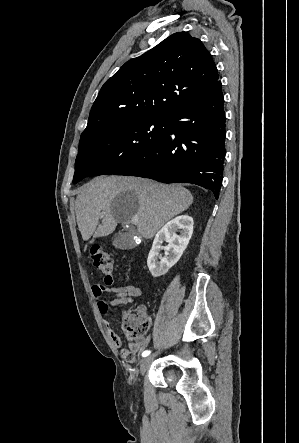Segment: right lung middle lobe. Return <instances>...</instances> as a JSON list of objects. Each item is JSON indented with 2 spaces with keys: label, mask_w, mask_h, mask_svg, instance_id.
Instances as JSON below:
<instances>
[{
  "label": "right lung middle lobe",
  "mask_w": 299,
  "mask_h": 443,
  "mask_svg": "<svg viewBox=\"0 0 299 443\" xmlns=\"http://www.w3.org/2000/svg\"><path fill=\"white\" fill-rule=\"evenodd\" d=\"M167 116L120 122L80 139L73 183L87 176L111 175L145 156L164 139Z\"/></svg>",
  "instance_id": "right-lung-middle-lobe-1"
}]
</instances>
